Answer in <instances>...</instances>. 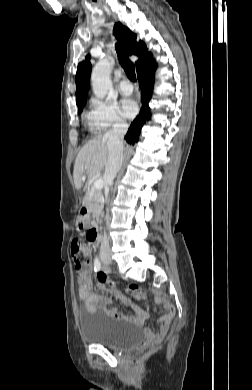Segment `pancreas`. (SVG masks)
Listing matches in <instances>:
<instances>
[{"label": "pancreas", "mask_w": 252, "mask_h": 390, "mask_svg": "<svg viewBox=\"0 0 252 390\" xmlns=\"http://www.w3.org/2000/svg\"><path fill=\"white\" fill-rule=\"evenodd\" d=\"M100 200H101L100 192L95 191L91 194V199L90 201L87 202V204L93 212L95 211V207L100 203Z\"/></svg>", "instance_id": "obj_1"}]
</instances>
